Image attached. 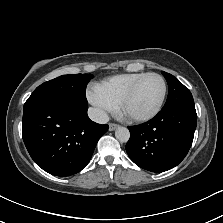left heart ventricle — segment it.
Wrapping results in <instances>:
<instances>
[{
	"label": "left heart ventricle",
	"mask_w": 223,
	"mask_h": 223,
	"mask_svg": "<svg viewBox=\"0 0 223 223\" xmlns=\"http://www.w3.org/2000/svg\"><path fill=\"white\" fill-rule=\"evenodd\" d=\"M162 92V83L156 76H149L139 85L134 95L121 111L129 115H146L157 105Z\"/></svg>",
	"instance_id": "left-heart-ventricle-1"
}]
</instances>
